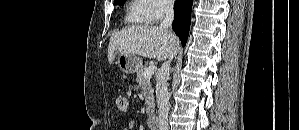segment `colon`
Listing matches in <instances>:
<instances>
[{
	"instance_id": "5ec220e1",
	"label": "colon",
	"mask_w": 299,
	"mask_h": 130,
	"mask_svg": "<svg viewBox=\"0 0 299 130\" xmlns=\"http://www.w3.org/2000/svg\"><path fill=\"white\" fill-rule=\"evenodd\" d=\"M116 104L119 110L126 111L128 107V100L125 96H118L116 99Z\"/></svg>"
}]
</instances>
